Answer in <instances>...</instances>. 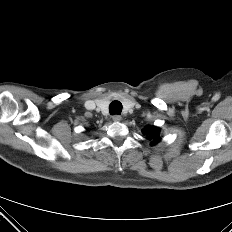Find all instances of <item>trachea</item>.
Wrapping results in <instances>:
<instances>
[{
  "label": "trachea",
  "instance_id": "3493384b",
  "mask_svg": "<svg viewBox=\"0 0 232 232\" xmlns=\"http://www.w3.org/2000/svg\"><path fill=\"white\" fill-rule=\"evenodd\" d=\"M122 111V104L119 101H113L111 102V104L109 105V112L111 115L114 114H121Z\"/></svg>",
  "mask_w": 232,
  "mask_h": 232
}]
</instances>
